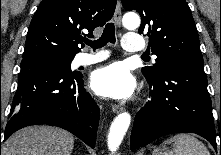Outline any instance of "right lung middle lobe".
<instances>
[{
  "instance_id": "dd1d6c3e",
  "label": "right lung middle lobe",
  "mask_w": 221,
  "mask_h": 155,
  "mask_svg": "<svg viewBox=\"0 0 221 155\" xmlns=\"http://www.w3.org/2000/svg\"><path fill=\"white\" fill-rule=\"evenodd\" d=\"M34 58H47V59L53 60L65 66L68 71H70V63L73 60V57H63V56H59L55 54H43V55H36V56H30V57H23V59H34Z\"/></svg>"
}]
</instances>
